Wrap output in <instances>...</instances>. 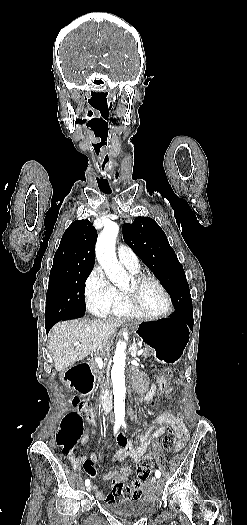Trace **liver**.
<instances>
[{
    "label": "liver",
    "mask_w": 247,
    "mask_h": 525,
    "mask_svg": "<svg viewBox=\"0 0 247 525\" xmlns=\"http://www.w3.org/2000/svg\"><path fill=\"white\" fill-rule=\"evenodd\" d=\"M121 323L113 319H73L56 323L49 331L47 347L55 371H65L95 351H104L108 339Z\"/></svg>",
    "instance_id": "6515ba94"
}]
</instances>
